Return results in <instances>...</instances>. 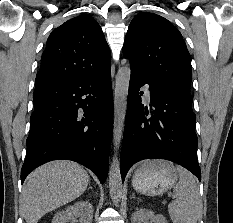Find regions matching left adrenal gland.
I'll list each match as a JSON object with an SVG mask.
<instances>
[{
  "label": "left adrenal gland",
  "mask_w": 233,
  "mask_h": 223,
  "mask_svg": "<svg viewBox=\"0 0 233 223\" xmlns=\"http://www.w3.org/2000/svg\"><path fill=\"white\" fill-rule=\"evenodd\" d=\"M132 197H136L135 193H132Z\"/></svg>",
  "instance_id": "a2214340"
}]
</instances>
